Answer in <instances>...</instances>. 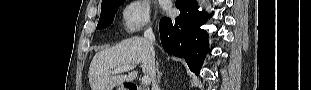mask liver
<instances>
[{"mask_svg":"<svg viewBox=\"0 0 311 90\" xmlns=\"http://www.w3.org/2000/svg\"><path fill=\"white\" fill-rule=\"evenodd\" d=\"M155 61L152 43L145 38L133 37L102 50L93 57L88 77L91 90H113L115 86L137 77V71L128 75H114L112 71L127 65L141 64L143 73L151 76Z\"/></svg>","mask_w":311,"mask_h":90,"instance_id":"1","label":"liver"}]
</instances>
